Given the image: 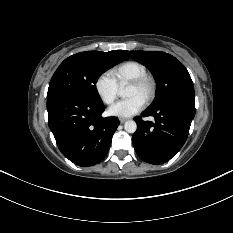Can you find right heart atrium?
<instances>
[{
	"label": "right heart atrium",
	"mask_w": 233,
	"mask_h": 233,
	"mask_svg": "<svg viewBox=\"0 0 233 233\" xmlns=\"http://www.w3.org/2000/svg\"><path fill=\"white\" fill-rule=\"evenodd\" d=\"M97 96L104 104H112L118 95V85L108 73L100 74L94 81Z\"/></svg>",
	"instance_id": "d8ad5b80"
}]
</instances>
